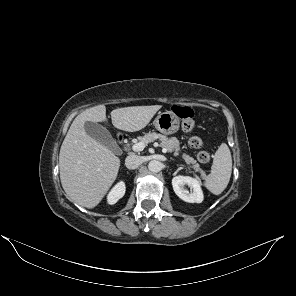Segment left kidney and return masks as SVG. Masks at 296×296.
I'll list each match as a JSON object with an SVG mask.
<instances>
[{"label":"left kidney","mask_w":296,"mask_h":296,"mask_svg":"<svg viewBox=\"0 0 296 296\" xmlns=\"http://www.w3.org/2000/svg\"><path fill=\"white\" fill-rule=\"evenodd\" d=\"M185 185L190 187V193L185 189ZM172 186L176 195L185 202L201 203L203 201L204 196L198 178L176 176L172 179Z\"/></svg>","instance_id":"1"}]
</instances>
